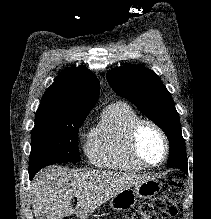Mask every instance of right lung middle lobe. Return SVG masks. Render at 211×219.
Wrapping results in <instances>:
<instances>
[{"label":"right lung middle lobe","mask_w":211,"mask_h":219,"mask_svg":"<svg viewBox=\"0 0 211 219\" xmlns=\"http://www.w3.org/2000/svg\"><path fill=\"white\" fill-rule=\"evenodd\" d=\"M86 114H52L38 108L32 129L29 175L60 162H79L78 131Z\"/></svg>","instance_id":"obj_1"}]
</instances>
